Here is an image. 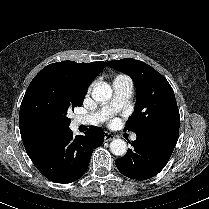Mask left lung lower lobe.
Instances as JSON below:
<instances>
[{
  "label": "left lung lower lobe",
  "instance_id": "obj_1",
  "mask_svg": "<svg viewBox=\"0 0 209 209\" xmlns=\"http://www.w3.org/2000/svg\"><path fill=\"white\" fill-rule=\"evenodd\" d=\"M178 140V134L143 132L132 141L133 150L115 160L118 170L139 181L158 174L169 161Z\"/></svg>",
  "mask_w": 209,
  "mask_h": 209
}]
</instances>
